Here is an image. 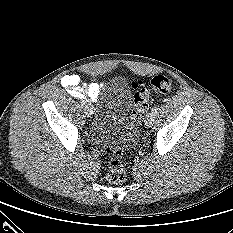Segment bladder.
I'll list each match as a JSON object with an SVG mask.
<instances>
[{
    "label": "bladder",
    "mask_w": 233,
    "mask_h": 233,
    "mask_svg": "<svg viewBox=\"0 0 233 233\" xmlns=\"http://www.w3.org/2000/svg\"><path fill=\"white\" fill-rule=\"evenodd\" d=\"M132 104L131 89L123 77H116L107 86L99 101L93 132L103 146L131 145L136 139V128L129 118Z\"/></svg>",
    "instance_id": "1"
}]
</instances>
